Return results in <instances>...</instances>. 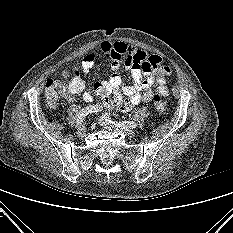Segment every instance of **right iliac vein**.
<instances>
[{"label": "right iliac vein", "instance_id": "1", "mask_svg": "<svg viewBox=\"0 0 233 233\" xmlns=\"http://www.w3.org/2000/svg\"><path fill=\"white\" fill-rule=\"evenodd\" d=\"M85 134H86V127L85 125H82L77 130V136L82 138L85 136Z\"/></svg>", "mask_w": 233, "mask_h": 233}]
</instances>
